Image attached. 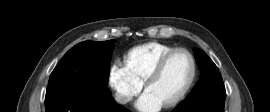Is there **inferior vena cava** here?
I'll return each instance as SVG.
<instances>
[{"label": "inferior vena cava", "instance_id": "obj_1", "mask_svg": "<svg viewBox=\"0 0 270 112\" xmlns=\"http://www.w3.org/2000/svg\"><path fill=\"white\" fill-rule=\"evenodd\" d=\"M115 100H116L118 103L125 104V103H127V102L130 101V97H128V96H123V95H120V94H116Z\"/></svg>", "mask_w": 270, "mask_h": 112}]
</instances>
